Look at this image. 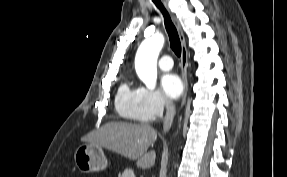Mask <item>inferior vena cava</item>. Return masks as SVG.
<instances>
[{"mask_svg": "<svg viewBox=\"0 0 287 177\" xmlns=\"http://www.w3.org/2000/svg\"><path fill=\"white\" fill-rule=\"evenodd\" d=\"M165 108H166V115L163 121V131L166 133L171 128L175 116V106L171 100L166 99Z\"/></svg>", "mask_w": 287, "mask_h": 177, "instance_id": "inferior-vena-cava-1", "label": "inferior vena cava"}]
</instances>
